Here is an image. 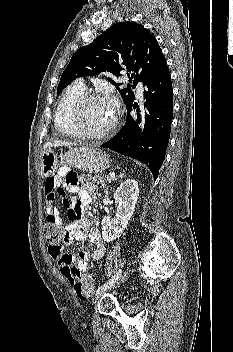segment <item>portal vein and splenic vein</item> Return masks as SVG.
Returning <instances> with one entry per match:
<instances>
[{
    "mask_svg": "<svg viewBox=\"0 0 233 352\" xmlns=\"http://www.w3.org/2000/svg\"><path fill=\"white\" fill-rule=\"evenodd\" d=\"M109 176L113 179L115 178V174L114 173H110Z\"/></svg>",
    "mask_w": 233,
    "mask_h": 352,
    "instance_id": "18ae733b",
    "label": "portal vein and splenic vein"
}]
</instances>
